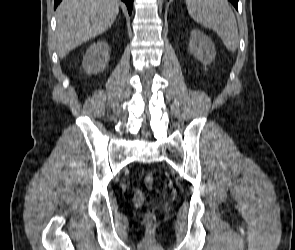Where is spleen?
<instances>
[{
  "mask_svg": "<svg viewBox=\"0 0 295 250\" xmlns=\"http://www.w3.org/2000/svg\"><path fill=\"white\" fill-rule=\"evenodd\" d=\"M186 6L190 16L197 23L214 30L229 51L237 50L238 27L227 0H186Z\"/></svg>",
  "mask_w": 295,
  "mask_h": 250,
  "instance_id": "1",
  "label": "spleen"
}]
</instances>
